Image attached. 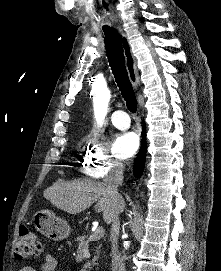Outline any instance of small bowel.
I'll use <instances>...</instances> for the list:
<instances>
[{"mask_svg": "<svg viewBox=\"0 0 221 271\" xmlns=\"http://www.w3.org/2000/svg\"><path fill=\"white\" fill-rule=\"evenodd\" d=\"M58 262L56 257L52 253L46 254L43 262L39 266L40 271H56ZM21 271H36L35 268L31 266H25Z\"/></svg>", "mask_w": 221, "mask_h": 271, "instance_id": "c3829d8e", "label": "small bowel"}]
</instances>
